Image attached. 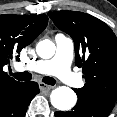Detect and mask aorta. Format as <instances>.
I'll return each instance as SVG.
<instances>
[{"label":"aorta","instance_id":"762f6f07","mask_svg":"<svg viewBox=\"0 0 117 117\" xmlns=\"http://www.w3.org/2000/svg\"><path fill=\"white\" fill-rule=\"evenodd\" d=\"M55 44L48 39L40 41L36 46V52L43 59L51 58L55 53ZM51 104L60 111L72 109L77 101L75 92L66 86H60L54 89L50 95Z\"/></svg>","mask_w":117,"mask_h":117}]
</instances>
